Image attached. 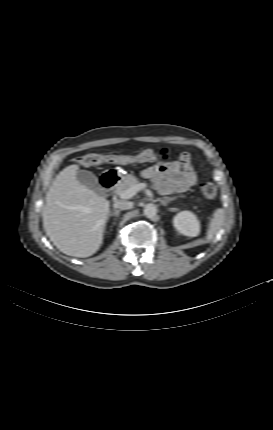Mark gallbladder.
<instances>
[{
    "label": "gallbladder",
    "mask_w": 273,
    "mask_h": 430,
    "mask_svg": "<svg viewBox=\"0 0 273 430\" xmlns=\"http://www.w3.org/2000/svg\"><path fill=\"white\" fill-rule=\"evenodd\" d=\"M78 181L96 193H101L103 188L98 182V178L90 171L79 170L77 172Z\"/></svg>",
    "instance_id": "1"
}]
</instances>
